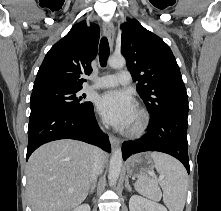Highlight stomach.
<instances>
[{
    "label": "stomach",
    "instance_id": "1",
    "mask_svg": "<svg viewBox=\"0 0 221 211\" xmlns=\"http://www.w3.org/2000/svg\"><path fill=\"white\" fill-rule=\"evenodd\" d=\"M154 168V162L149 153H141L133 156L126 165L128 174L140 177L152 172Z\"/></svg>",
    "mask_w": 221,
    "mask_h": 211
}]
</instances>
